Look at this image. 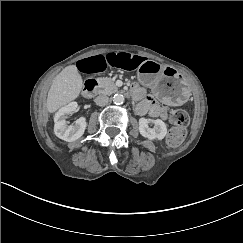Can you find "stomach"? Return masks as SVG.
I'll list each match as a JSON object with an SVG mask.
<instances>
[{
    "mask_svg": "<svg viewBox=\"0 0 243 243\" xmlns=\"http://www.w3.org/2000/svg\"><path fill=\"white\" fill-rule=\"evenodd\" d=\"M137 76L142 85L149 87L167 105H183L190 96L185 80L171 66L148 60L138 69Z\"/></svg>",
    "mask_w": 243,
    "mask_h": 243,
    "instance_id": "1",
    "label": "stomach"
}]
</instances>
